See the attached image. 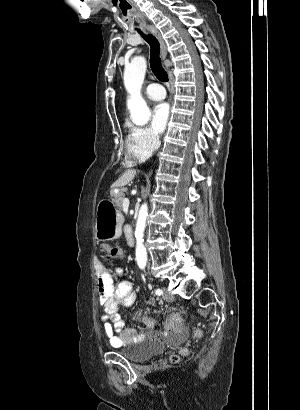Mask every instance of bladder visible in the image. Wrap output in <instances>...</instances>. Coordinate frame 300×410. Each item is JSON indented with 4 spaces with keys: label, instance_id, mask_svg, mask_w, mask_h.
<instances>
[{
    "label": "bladder",
    "instance_id": "1",
    "mask_svg": "<svg viewBox=\"0 0 300 410\" xmlns=\"http://www.w3.org/2000/svg\"><path fill=\"white\" fill-rule=\"evenodd\" d=\"M165 346L162 342L144 343V341L137 343L130 349L124 350L123 355L132 363H143L159 352H162Z\"/></svg>",
    "mask_w": 300,
    "mask_h": 410
}]
</instances>
